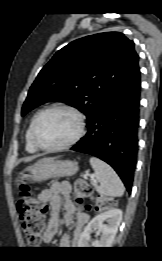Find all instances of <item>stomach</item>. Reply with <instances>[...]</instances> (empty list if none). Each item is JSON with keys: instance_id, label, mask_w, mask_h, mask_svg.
<instances>
[{"instance_id": "stomach-1", "label": "stomach", "mask_w": 162, "mask_h": 261, "mask_svg": "<svg viewBox=\"0 0 162 261\" xmlns=\"http://www.w3.org/2000/svg\"><path fill=\"white\" fill-rule=\"evenodd\" d=\"M78 170V163L75 161L44 158L28 169L30 174L22 172L19 176V182L25 184L27 180L41 182L55 177L72 176Z\"/></svg>"}]
</instances>
